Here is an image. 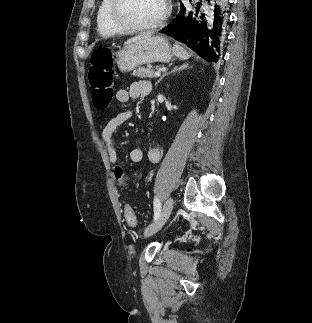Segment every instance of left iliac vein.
Returning <instances> with one entry per match:
<instances>
[{"label": "left iliac vein", "mask_w": 312, "mask_h": 323, "mask_svg": "<svg viewBox=\"0 0 312 323\" xmlns=\"http://www.w3.org/2000/svg\"><path fill=\"white\" fill-rule=\"evenodd\" d=\"M173 205H174L173 198L171 197L168 198L164 203L161 214L159 215L157 220L154 223H152L144 232L145 237H149L157 233L163 227V225L166 223L169 215L172 212Z\"/></svg>", "instance_id": "obj_1"}]
</instances>
